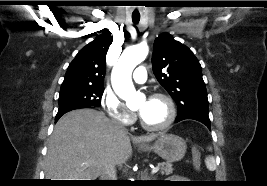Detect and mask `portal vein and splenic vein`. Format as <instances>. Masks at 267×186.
<instances>
[{"label":"portal vein and splenic vein","instance_id":"18ae733b","mask_svg":"<svg viewBox=\"0 0 267 186\" xmlns=\"http://www.w3.org/2000/svg\"><path fill=\"white\" fill-rule=\"evenodd\" d=\"M159 171V167H155L152 169L151 174H156Z\"/></svg>","mask_w":267,"mask_h":186}]
</instances>
